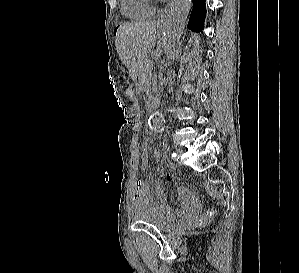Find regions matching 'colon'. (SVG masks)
<instances>
[{"instance_id":"colon-1","label":"colon","mask_w":299,"mask_h":273,"mask_svg":"<svg viewBox=\"0 0 299 273\" xmlns=\"http://www.w3.org/2000/svg\"><path fill=\"white\" fill-rule=\"evenodd\" d=\"M141 147L142 149H148L149 148V141H148V138L147 137H143L141 139ZM216 214V211L215 209H209L205 215H203L201 218H200V221L201 222H208L210 220H212L214 218Z\"/></svg>"}]
</instances>
